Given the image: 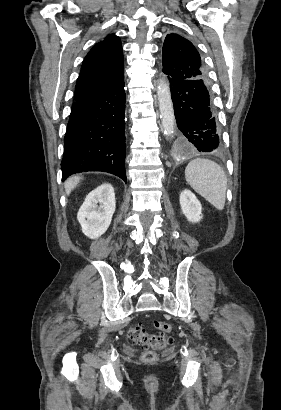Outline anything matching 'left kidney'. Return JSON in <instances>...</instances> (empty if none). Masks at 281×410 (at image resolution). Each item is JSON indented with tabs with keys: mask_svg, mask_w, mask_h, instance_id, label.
Here are the masks:
<instances>
[{
	"mask_svg": "<svg viewBox=\"0 0 281 410\" xmlns=\"http://www.w3.org/2000/svg\"><path fill=\"white\" fill-rule=\"evenodd\" d=\"M180 206L183 214L192 223L200 222L202 219V206L195 194L190 190H184L180 194Z\"/></svg>",
	"mask_w": 281,
	"mask_h": 410,
	"instance_id": "left-kidney-1",
	"label": "left kidney"
}]
</instances>
